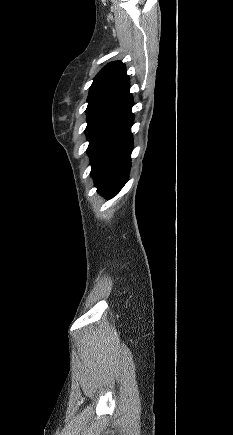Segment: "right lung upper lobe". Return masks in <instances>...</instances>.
Instances as JSON below:
<instances>
[{
    "label": "right lung upper lobe",
    "mask_w": 233,
    "mask_h": 435,
    "mask_svg": "<svg viewBox=\"0 0 233 435\" xmlns=\"http://www.w3.org/2000/svg\"><path fill=\"white\" fill-rule=\"evenodd\" d=\"M129 88L130 80L125 65L121 61L108 63L96 75L90 87L87 117L102 114L128 116L133 107Z\"/></svg>",
    "instance_id": "1"
}]
</instances>
